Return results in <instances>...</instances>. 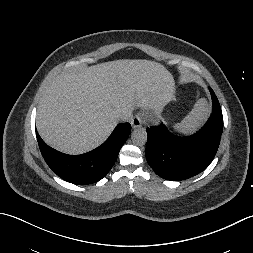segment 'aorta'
<instances>
[{
	"label": "aorta",
	"instance_id": "aorta-1",
	"mask_svg": "<svg viewBox=\"0 0 253 253\" xmlns=\"http://www.w3.org/2000/svg\"><path fill=\"white\" fill-rule=\"evenodd\" d=\"M132 142L135 145L143 146L147 141V132L143 128H137L132 132L131 135Z\"/></svg>",
	"mask_w": 253,
	"mask_h": 253
}]
</instances>
